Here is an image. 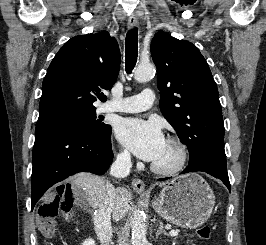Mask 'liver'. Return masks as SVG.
Wrapping results in <instances>:
<instances>
[{"instance_id":"6515ba94","label":"liver","mask_w":266,"mask_h":245,"mask_svg":"<svg viewBox=\"0 0 266 245\" xmlns=\"http://www.w3.org/2000/svg\"><path fill=\"white\" fill-rule=\"evenodd\" d=\"M73 181L74 185L79 187L84 195H86V201H88L90 207H92V203L94 199H96L98 191L104 189L105 185L108 183L107 179H104V177H97V175H91V173H78V175H74ZM164 185H167V183H160L159 187H164ZM115 191L116 195L115 199H113L114 207L112 209V219L113 221H121L128 213L130 195L127 189H123V187H118Z\"/></svg>"}]
</instances>
